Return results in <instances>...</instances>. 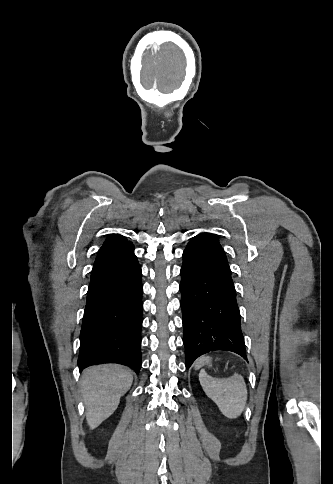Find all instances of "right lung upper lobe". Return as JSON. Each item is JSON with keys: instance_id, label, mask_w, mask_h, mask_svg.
<instances>
[{"instance_id": "cb5924a9", "label": "right lung upper lobe", "mask_w": 333, "mask_h": 484, "mask_svg": "<svg viewBox=\"0 0 333 484\" xmlns=\"http://www.w3.org/2000/svg\"><path fill=\"white\" fill-rule=\"evenodd\" d=\"M130 244L132 243L130 241L128 242L124 236L120 234H112L105 240L103 246L100 248V252L112 248L124 247Z\"/></svg>"}]
</instances>
